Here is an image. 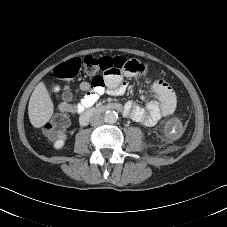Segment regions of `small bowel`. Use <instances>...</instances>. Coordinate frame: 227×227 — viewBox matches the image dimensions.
Returning a JSON list of instances; mask_svg holds the SVG:
<instances>
[{"label": "small bowel", "instance_id": "c3829d8e", "mask_svg": "<svg viewBox=\"0 0 227 227\" xmlns=\"http://www.w3.org/2000/svg\"><path fill=\"white\" fill-rule=\"evenodd\" d=\"M133 74L128 72V75ZM79 88L84 92V95L75 104L54 100L59 112L81 113L86 108L94 105L105 92L113 96L123 95L128 89V84L121 75H108L105 77V85L94 86L93 83L82 81ZM142 98L146 99L145 96ZM176 105V94L172 87L164 80H157L153 84V96L146 106L142 107L134 101H128L124 105V115L151 127L156 125L162 117L171 115L175 111Z\"/></svg>", "mask_w": 227, "mask_h": 227}]
</instances>
